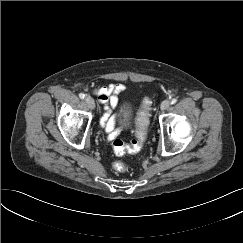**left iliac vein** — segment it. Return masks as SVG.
Here are the masks:
<instances>
[{
  "mask_svg": "<svg viewBox=\"0 0 243 243\" xmlns=\"http://www.w3.org/2000/svg\"><path fill=\"white\" fill-rule=\"evenodd\" d=\"M170 105V102L168 100H164L162 101L161 105H160V108L161 110H166Z\"/></svg>",
  "mask_w": 243,
  "mask_h": 243,
  "instance_id": "left-iliac-vein-1",
  "label": "left iliac vein"
}]
</instances>
